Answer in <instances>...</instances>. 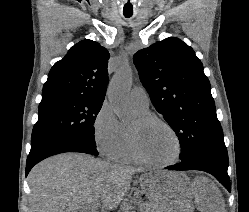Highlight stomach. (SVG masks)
<instances>
[{
	"mask_svg": "<svg viewBox=\"0 0 249 212\" xmlns=\"http://www.w3.org/2000/svg\"><path fill=\"white\" fill-rule=\"evenodd\" d=\"M140 179L146 198H152L146 204H157V212H194L193 194L187 190L191 179H186L184 170H149Z\"/></svg>",
	"mask_w": 249,
	"mask_h": 212,
	"instance_id": "0dacf381",
	"label": "stomach"
}]
</instances>
